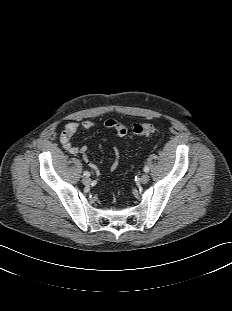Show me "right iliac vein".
I'll use <instances>...</instances> for the list:
<instances>
[{"label": "right iliac vein", "instance_id": "right-iliac-vein-1", "mask_svg": "<svg viewBox=\"0 0 232 311\" xmlns=\"http://www.w3.org/2000/svg\"><path fill=\"white\" fill-rule=\"evenodd\" d=\"M82 182H83V184H85V185H89V184H91V179H90L89 177H84V178L82 179Z\"/></svg>", "mask_w": 232, "mask_h": 311}]
</instances>
